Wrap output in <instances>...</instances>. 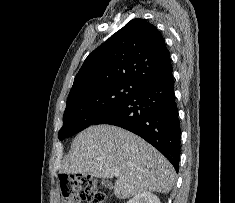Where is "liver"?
Returning a JSON list of instances; mask_svg holds the SVG:
<instances>
[{
  "label": "liver",
  "instance_id": "6515ba94",
  "mask_svg": "<svg viewBox=\"0 0 235 203\" xmlns=\"http://www.w3.org/2000/svg\"><path fill=\"white\" fill-rule=\"evenodd\" d=\"M61 172L115 176L114 193L119 199L146 191L168 193L175 181L173 166L157 149L127 130L106 124L90 126L75 137Z\"/></svg>",
  "mask_w": 235,
  "mask_h": 203
}]
</instances>
